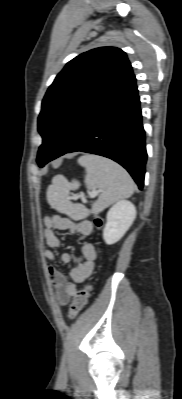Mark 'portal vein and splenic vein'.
I'll return each instance as SVG.
<instances>
[{"mask_svg": "<svg viewBox=\"0 0 182 399\" xmlns=\"http://www.w3.org/2000/svg\"><path fill=\"white\" fill-rule=\"evenodd\" d=\"M90 195L91 196H95V195H97V192L93 191V192L90 193Z\"/></svg>", "mask_w": 182, "mask_h": 399, "instance_id": "1", "label": "portal vein and splenic vein"}]
</instances>
